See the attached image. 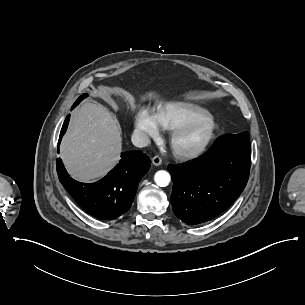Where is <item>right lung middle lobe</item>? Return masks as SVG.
Returning <instances> with one entry per match:
<instances>
[{
    "instance_id": "1",
    "label": "right lung middle lobe",
    "mask_w": 305,
    "mask_h": 305,
    "mask_svg": "<svg viewBox=\"0 0 305 305\" xmlns=\"http://www.w3.org/2000/svg\"><path fill=\"white\" fill-rule=\"evenodd\" d=\"M88 94H83L81 95L78 99H77V102H80L82 99H84L85 97H87Z\"/></svg>"
}]
</instances>
